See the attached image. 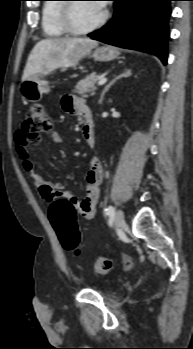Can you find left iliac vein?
I'll list each match as a JSON object with an SVG mask.
<instances>
[{"label": "left iliac vein", "mask_w": 193, "mask_h": 349, "mask_svg": "<svg viewBox=\"0 0 193 349\" xmlns=\"http://www.w3.org/2000/svg\"><path fill=\"white\" fill-rule=\"evenodd\" d=\"M125 223L124 214L121 210H117L114 217V224L117 228H121Z\"/></svg>", "instance_id": "1"}]
</instances>
